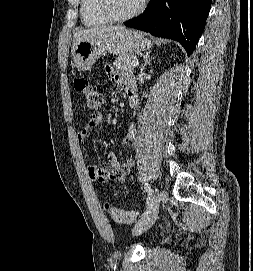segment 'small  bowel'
<instances>
[{"label": "small bowel", "mask_w": 253, "mask_h": 271, "mask_svg": "<svg viewBox=\"0 0 253 271\" xmlns=\"http://www.w3.org/2000/svg\"><path fill=\"white\" fill-rule=\"evenodd\" d=\"M106 72L113 83L121 86L126 93L136 95L137 87L134 80L129 75L121 74L115 71L110 66L106 67ZM104 115L102 113H94L91 115L85 128L74 133L75 139L78 142L86 141L102 124ZM136 142V128L132 123L127 131V134L122 140V145L128 148H134ZM109 164L107 166H98L89 164L87 166L89 177L92 181L106 183L112 180L124 181L134 165L132 158L126 159L124 162H119L114 152H108Z\"/></svg>", "instance_id": "small-bowel-1"}]
</instances>
